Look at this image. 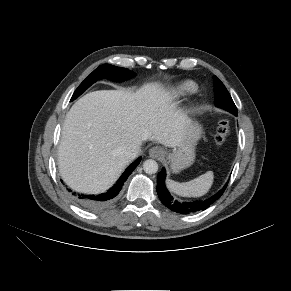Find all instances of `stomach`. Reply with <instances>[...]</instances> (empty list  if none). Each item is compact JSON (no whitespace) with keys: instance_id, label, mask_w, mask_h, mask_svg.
Returning a JSON list of instances; mask_svg holds the SVG:
<instances>
[{"instance_id":"1","label":"stomach","mask_w":291,"mask_h":291,"mask_svg":"<svg viewBox=\"0 0 291 291\" xmlns=\"http://www.w3.org/2000/svg\"><path fill=\"white\" fill-rule=\"evenodd\" d=\"M202 133L201 125L190 120L183 142L175 147L172 153L165 152L166 159L170 163L173 173H178L193 164L195 160V147Z\"/></svg>"}]
</instances>
